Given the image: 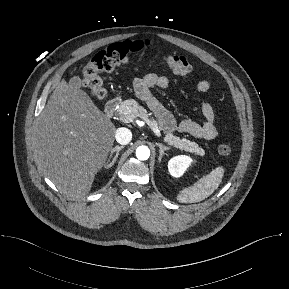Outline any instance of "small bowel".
I'll use <instances>...</instances> for the list:
<instances>
[{
    "instance_id": "c3829d8e",
    "label": "small bowel",
    "mask_w": 289,
    "mask_h": 289,
    "mask_svg": "<svg viewBox=\"0 0 289 289\" xmlns=\"http://www.w3.org/2000/svg\"><path fill=\"white\" fill-rule=\"evenodd\" d=\"M169 85L170 81L166 76H160L153 73L137 78L134 82L136 95L151 106L165 130H178L199 139H214L217 136V129L215 126V112L213 107L207 102L201 104V112L204 117V121L202 122H197L191 119H184L177 122L173 115L154 97L152 93V89L154 88L166 89ZM210 87V82L205 79L200 80L196 84V89L199 92H207Z\"/></svg>"
}]
</instances>
